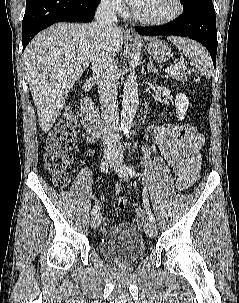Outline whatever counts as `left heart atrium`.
<instances>
[{
    "mask_svg": "<svg viewBox=\"0 0 239 303\" xmlns=\"http://www.w3.org/2000/svg\"><path fill=\"white\" fill-rule=\"evenodd\" d=\"M135 10L143 3L144 0H125Z\"/></svg>",
    "mask_w": 239,
    "mask_h": 303,
    "instance_id": "1",
    "label": "left heart atrium"
}]
</instances>
